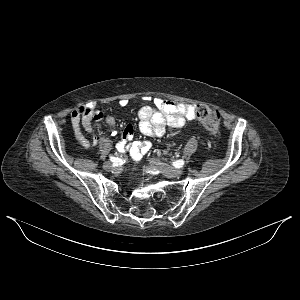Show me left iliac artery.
<instances>
[{"label":"left iliac artery","instance_id":"obj_1","mask_svg":"<svg viewBox=\"0 0 300 300\" xmlns=\"http://www.w3.org/2000/svg\"><path fill=\"white\" fill-rule=\"evenodd\" d=\"M184 165V161L183 160H176L175 162H173V166L175 168H181Z\"/></svg>","mask_w":300,"mask_h":300}]
</instances>
